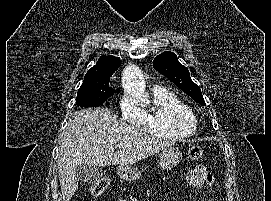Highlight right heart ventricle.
<instances>
[{
    "mask_svg": "<svg viewBox=\"0 0 271 201\" xmlns=\"http://www.w3.org/2000/svg\"><path fill=\"white\" fill-rule=\"evenodd\" d=\"M152 99V108L144 113V126L150 135L177 139L196 133L198 120L195 113L173 91L156 87L153 89Z\"/></svg>",
    "mask_w": 271,
    "mask_h": 201,
    "instance_id": "1",
    "label": "right heart ventricle"
}]
</instances>
